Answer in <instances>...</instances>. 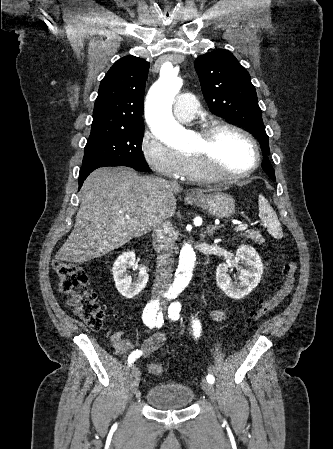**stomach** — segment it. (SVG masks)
<instances>
[{
    "instance_id": "obj_1",
    "label": "stomach",
    "mask_w": 333,
    "mask_h": 449,
    "mask_svg": "<svg viewBox=\"0 0 333 449\" xmlns=\"http://www.w3.org/2000/svg\"><path fill=\"white\" fill-rule=\"evenodd\" d=\"M192 200L197 206L220 218H228L235 213V200L226 193L213 192Z\"/></svg>"
}]
</instances>
